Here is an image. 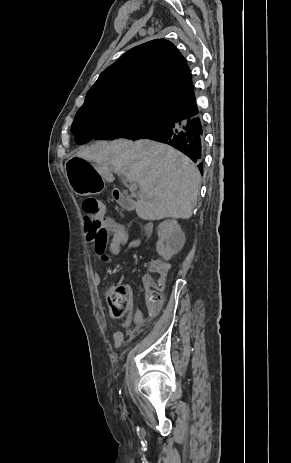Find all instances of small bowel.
I'll return each mask as SVG.
<instances>
[{
  "mask_svg": "<svg viewBox=\"0 0 291 463\" xmlns=\"http://www.w3.org/2000/svg\"><path fill=\"white\" fill-rule=\"evenodd\" d=\"M85 240L105 262L110 261V256H118L141 245L139 239L129 240L124 226L110 217H103L101 219V228L87 229ZM123 246L124 249H122ZM94 280L97 284L101 282L99 274L94 275ZM143 282L146 284L147 276L143 277ZM131 319L135 327H140L144 323L143 312L140 309L132 310L130 318L125 323L129 324ZM122 341L123 333L121 331L115 332L113 336L114 347L118 348L122 344Z\"/></svg>",
  "mask_w": 291,
  "mask_h": 463,
  "instance_id": "obj_1",
  "label": "small bowel"
}]
</instances>
